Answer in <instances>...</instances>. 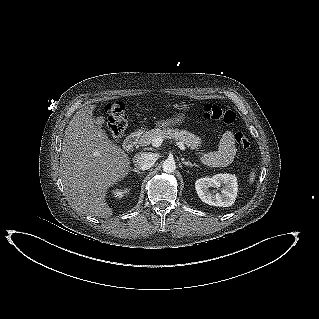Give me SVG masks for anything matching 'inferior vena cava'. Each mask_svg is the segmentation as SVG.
Wrapping results in <instances>:
<instances>
[{
    "label": "inferior vena cava",
    "instance_id": "obj_1",
    "mask_svg": "<svg viewBox=\"0 0 319 319\" xmlns=\"http://www.w3.org/2000/svg\"><path fill=\"white\" fill-rule=\"evenodd\" d=\"M155 162V155L151 153H137L133 158L134 165L140 170H148Z\"/></svg>",
    "mask_w": 319,
    "mask_h": 319
}]
</instances>
